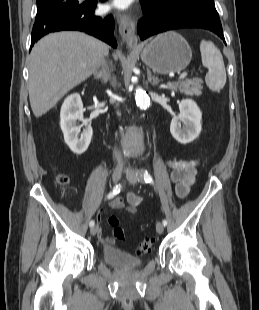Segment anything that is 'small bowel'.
<instances>
[{
    "instance_id": "c3829d8e",
    "label": "small bowel",
    "mask_w": 259,
    "mask_h": 310,
    "mask_svg": "<svg viewBox=\"0 0 259 310\" xmlns=\"http://www.w3.org/2000/svg\"><path fill=\"white\" fill-rule=\"evenodd\" d=\"M197 165V160L172 159L168 161V166L171 169V181L175 185V192L178 198L184 199L189 194L190 188L195 181ZM127 202L128 206L126 207V210L129 213H135L137 211V206L140 203V198L130 192L127 195ZM108 207L116 210L123 209L125 207V200L122 197H115L109 202ZM105 210L106 207H102L100 212L103 213ZM97 235L105 247L114 246V238L104 237L99 228Z\"/></svg>"
}]
</instances>
